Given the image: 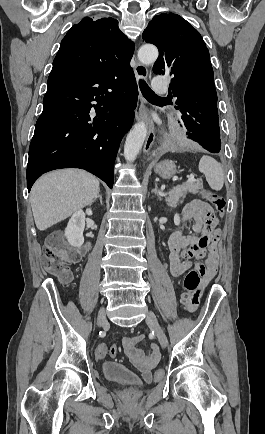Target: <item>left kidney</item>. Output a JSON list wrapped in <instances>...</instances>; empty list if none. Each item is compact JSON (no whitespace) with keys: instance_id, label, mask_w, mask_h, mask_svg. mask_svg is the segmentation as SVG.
Listing matches in <instances>:
<instances>
[{"instance_id":"left-kidney-1","label":"left kidney","mask_w":265,"mask_h":434,"mask_svg":"<svg viewBox=\"0 0 265 434\" xmlns=\"http://www.w3.org/2000/svg\"><path fill=\"white\" fill-rule=\"evenodd\" d=\"M174 224H175V226H179V224H180V216H179V214H175V216H174Z\"/></svg>"}]
</instances>
